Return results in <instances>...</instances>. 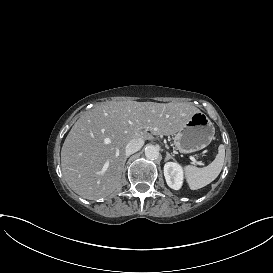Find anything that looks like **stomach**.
I'll return each instance as SVG.
<instances>
[{
    "instance_id": "obj_1",
    "label": "stomach",
    "mask_w": 273,
    "mask_h": 273,
    "mask_svg": "<svg viewBox=\"0 0 273 273\" xmlns=\"http://www.w3.org/2000/svg\"><path fill=\"white\" fill-rule=\"evenodd\" d=\"M214 134L213 123L204 113L197 112L174 135V143L181 152H195L207 147Z\"/></svg>"
}]
</instances>
